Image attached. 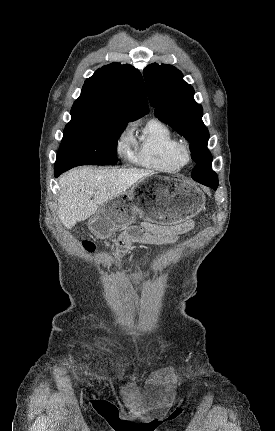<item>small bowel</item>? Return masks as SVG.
<instances>
[{
    "label": "small bowel",
    "mask_w": 275,
    "mask_h": 431,
    "mask_svg": "<svg viewBox=\"0 0 275 431\" xmlns=\"http://www.w3.org/2000/svg\"><path fill=\"white\" fill-rule=\"evenodd\" d=\"M194 226L192 220H186L174 225H156L145 223L141 229L134 228L123 233L118 242L116 256L125 254L134 242L153 245L174 243L177 239Z\"/></svg>",
    "instance_id": "small-bowel-1"
}]
</instances>
